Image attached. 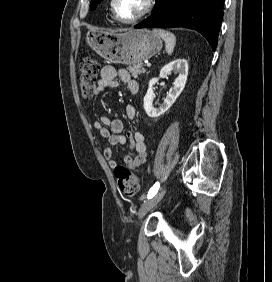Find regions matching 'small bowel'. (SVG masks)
Segmentation results:
<instances>
[{
    "label": "small bowel",
    "mask_w": 272,
    "mask_h": 282,
    "mask_svg": "<svg viewBox=\"0 0 272 282\" xmlns=\"http://www.w3.org/2000/svg\"><path fill=\"white\" fill-rule=\"evenodd\" d=\"M118 79V80H117ZM122 82L132 94L139 92V84L133 80L125 69H116L113 66H104L101 70V79L96 93L108 90ZM126 115L129 119H133L136 115L134 106L126 107ZM105 126L110 127L111 130ZM94 127L99 131L100 135L107 139L109 146L105 149L104 155L111 168L117 166V162L112 150V146L123 145L128 138L133 149L134 155H127L123 158V164L129 169H134L143 165L147 158V146L144 133L140 130L123 134L124 123L120 119H112L107 116H101L99 121L94 123Z\"/></svg>",
    "instance_id": "1"
}]
</instances>
